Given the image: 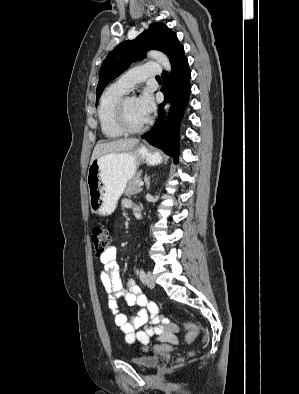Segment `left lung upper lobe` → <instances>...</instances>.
<instances>
[{
    "label": "left lung upper lobe",
    "instance_id": "5c2ea615",
    "mask_svg": "<svg viewBox=\"0 0 299 394\" xmlns=\"http://www.w3.org/2000/svg\"><path fill=\"white\" fill-rule=\"evenodd\" d=\"M182 48L176 34L163 23H152L148 30L142 32L134 40L119 44L108 54L101 65L100 79L96 89V106L106 85L124 72L131 62L144 58L146 51L160 50L167 54L172 62Z\"/></svg>",
    "mask_w": 299,
    "mask_h": 394
}]
</instances>
